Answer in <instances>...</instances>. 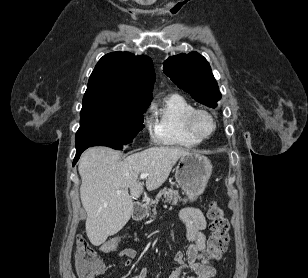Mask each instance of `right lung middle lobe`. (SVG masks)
<instances>
[{
  "instance_id": "dd1d6c3e",
  "label": "right lung middle lobe",
  "mask_w": 308,
  "mask_h": 278,
  "mask_svg": "<svg viewBox=\"0 0 308 278\" xmlns=\"http://www.w3.org/2000/svg\"><path fill=\"white\" fill-rule=\"evenodd\" d=\"M148 107L80 116V128L75 136L76 149L98 145L122 149L144 127L143 114Z\"/></svg>"
}]
</instances>
